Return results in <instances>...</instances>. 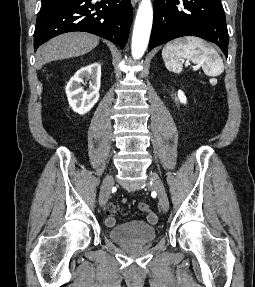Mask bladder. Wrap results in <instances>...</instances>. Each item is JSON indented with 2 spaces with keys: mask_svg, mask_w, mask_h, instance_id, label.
<instances>
[{
  "mask_svg": "<svg viewBox=\"0 0 255 287\" xmlns=\"http://www.w3.org/2000/svg\"><path fill=\"white\" fill-rule=\"evenodd\" d=\"M157 234L155 226L143 221H131L107 230L112 241L122 244L149 243L156 239Z\"/></svg>",
  "mask_w": 255,
  "mask_h": 287,
  "instance_id": "1",
  "label": "bladder"
}]
</instances>
